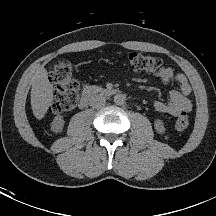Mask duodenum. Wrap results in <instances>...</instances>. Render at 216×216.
Segmentation results:
<instances>
[{
  "mask_svg": "<svg viewBox=\"0 0 216 216\" xmlns=\"http://www.w3.org/2000/svg\"><path fill=\"white\" fill-rule=\"evenodd\" d=\"M119 93H120L119 90L114 88L98 89V88L89 87L82 94L78 106L80 108H85L89 104L90 100L96 95L112 96V95H117Z\"/></svg>",
  "mask_w": 216,
  "mask_h": 216,
  "instance_id": "1",
  "label": "duodenum"
}]
</instances>
